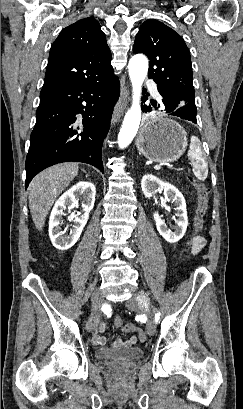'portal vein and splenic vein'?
I'll return each mask as SVG.
<instances>
[{"label":"portal vein and splenic vein","mask_w":243,"mask_h":409,"mask_svg":"<svg viewBox=\"0 0 243 409\" xmlns=\"http://www.w3.org/2000/svg\"><path fill=\"white\" fill-rule=\"evenodd\" d=\"M161 168V165H155L154 166V169H156V170H158V169H160Z\"/></svg>","instance_id":"portal-vein-and-splenic-vein-1"}]
</instances>
